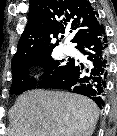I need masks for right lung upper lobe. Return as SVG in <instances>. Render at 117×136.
Here are the masks:
<instances>
[{"label":"right lung upper lobe","instance_id":"1","mask_svg":"<svg viewBox=\"0 0 117 136\" xmlns=\"http://www.w3.org/2000/svg\"><path fill=\"white\" fill-rule=\"evenodd\" d=\"M98 14L87 0H30L29 18L12 60V70L20 65L51 55L58 38L70 28L72 42L94 29Z\"/></svg>","mask_w":117,"mask_h":136}]
</instances>
